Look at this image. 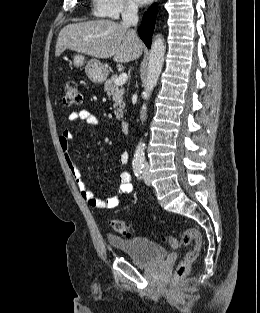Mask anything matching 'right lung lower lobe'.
Returning a JSON list of instances; mask_svg holds the SVG:
<instances>
[{
    "instance_id": "1",
    "label": "right lung lower lobe",
    "mask_w": 260,
    "mask_h": 313,
    "mask_svg": "<svg viewBox=\"0 0 260 313\" xmlns=\"http://www.w3.org/2000/svg\"><path fill=\"white\" fill-rule=\"evenodd\" d=\"M156 15L157 4H153L144 14L141 26L139 27V35L148 48H150L152 41Z\"/></svg>"
}]
</instances>
